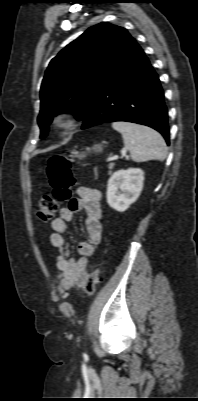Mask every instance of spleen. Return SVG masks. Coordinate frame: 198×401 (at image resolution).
Segmentation results:
<instances>
[{"label":"spleen","instance_id":"3e777b00","mask_svg":"<svg viewBox=\"0 0 198 401\" xmlns=\"http://www.w3.org/2000/svg\"><path fill=\"white\" fill-rule=\"evenodd\" d=\"M112 127L122 134L124 146L129 150L133 161H163L166 158V143L157 131L123 121L113 122Z\"/></svg>","mask_w":198,"mask_h":401}]
</instances>
